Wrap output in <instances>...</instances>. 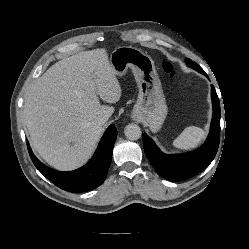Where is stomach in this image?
<instances>
[{
  "label": "stomach",
  "instance_id": "0dacf381",
  "mask_svg": "<svg viewBox=\"0 0 249 249\" xmlns=\"http://www.w3.org/2000/svg\"><path fill=\"white\" fill-rule=\"evenodd\" d=\"M116 75L122 76L131 68L139 93L132 110V118L145 123L151 131H158L167 115V105L161 82L151 57L131 46L116 48L110 55Z\"/></svg>",
  "mask_w": 249,
  "mask_h": 249
}]
</instances>
